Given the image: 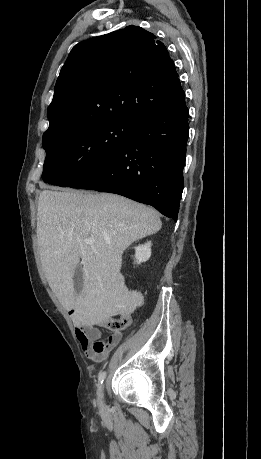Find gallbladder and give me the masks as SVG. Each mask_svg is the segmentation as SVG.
<instances>
[{"label": "gallbladder", "mask_w": 261, "mask_h": 459, "mask_svg": "<svg viewBox=\"0 0 261 459\" xmlns=\"http://www.w3.org/2000/svg\"><path fill=\"white\" fill-rule=\"evenodd\" d=\"M84 283V270L81 264H78L74 272V290L77 294H80Z\"/></svg>", "instance_id": "1"}]
</instances>
